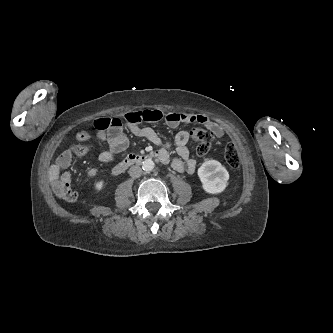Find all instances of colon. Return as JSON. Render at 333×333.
Here are the masks:
<instances>
[{"mask_svg": "<svg viewBox=\"0 0 333 333\" xmlns=\"http://www.w3.org/2000/svg\"><path fill=\"white\" fill-rule=\"evenodd\" d=\"M159 118V117H158ZM94 127L98 131H114L122 127V120L120 118L102 117L94 121ZM193 140L198 142L196 149L198 156L206 155L211 146L212 134L203 128H195L190 133ZM89 151L86 145H77L74 147V152L83 156ZM224 159L229 167L237 169L240 166V158L238 151L233 143H228L224 149Z\"/></svg>", "mask_w": 333, "mask_h": 333, "instance_id": "1", "label": "colon"}]
</instances>
